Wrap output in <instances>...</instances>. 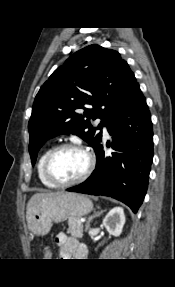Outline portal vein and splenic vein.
Here are the masks:
<instances>
[{
	"mask_svg": "<svg viewBox=\"0 0 175 287\" xmlns=\"http://www.w3.org/2000/svg\"><path fill=\"white\" fill-rule=\"evenodd\" d=\"M81 222H85V219H81V220H80V223H81Z\"/></svg>",
	"mask_w": 175,
	"mask_h": 287,
	"instance_id": "1",
	"label": "portal vein and splenic vein"
}]
</instances>
